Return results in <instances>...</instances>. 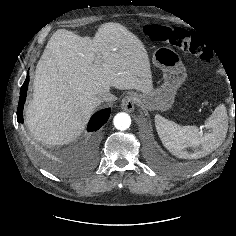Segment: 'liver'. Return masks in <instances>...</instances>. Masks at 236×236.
I'll return each mask as SVG.
<instances>
[{
    "label": "liver",
    "mask_w": 236,
    "mask_h": 236,
    "mask_svg": "<svg viewBox=\"0 0 236 236\" xmlns=\"http://www.w3.org/2000/svg\"><path fill=\"white\" fill-rule=\"evenodd\" d=\"M33 99L25 110L37 141L63 145L73 141L112 87L153 88L144 44L124 25L106 22L93 38L57 30L36 66Z\"/></svg>",
    "instance_id": "1"
}]
</instances>
